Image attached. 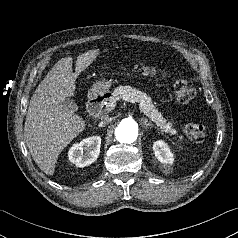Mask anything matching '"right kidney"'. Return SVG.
Wrapping results in <instances>:
<instances>
[{"instance_id": "1", "label": "right kidney", "mask_w": 238, "mask_h": 238, "mask_svg": "<svg viewBox=\"0 0 238 238\" xmlns=\"http://www.w3.org/2000/svg\"><path fill=\"white\" fill-rule=\"evenodd\" d=\"M101 138L92 136L82 140L80 143L73 144L68 152L71 163L77 167H85L95 162L100 153Z\"/></svg>"}]
</instances>
